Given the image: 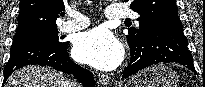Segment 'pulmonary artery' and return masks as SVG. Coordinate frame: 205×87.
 <instances>
[{
    "label": "pulmonary artery",
    "mask_w": 205,
    "mask_h": 87,
    "mask_svg": "<svg viewBox=\"0 0 205 87\" xmlns=\"http://www.w3.org/2000/svg\"><path fill=\"white\" fill-rule=\"evenodd\" d=\"M71 20L63 22L59 30L63 33H70L79 31L89 26V19L77 11H69L68 13ZM129 16L137 17L126 6L120 4H112L106 10L107 19H125Z\"/></svg>",
    "instance_id": "obj_1"
}]
</instances>
